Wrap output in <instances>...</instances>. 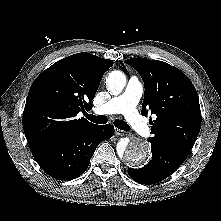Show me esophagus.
I'll return each mask as SVG.
<instances>
[{"label":"esophagus","instance_id":"34e87169","mask_svg":"<svg viewBox=\"0 0 221 221\" xmlns=\"http://www.w3.org/2000/svg\"><path fill=\"white\" fill-rule=\"evenodd\" d=\"M115 134L117 136H123L125 134V131L115 128Z\"/></svg>","mask_w":221,"mask_h":221}]
</instances>
